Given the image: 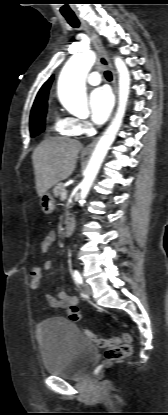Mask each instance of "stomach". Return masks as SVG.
<instances>
[{"instance_id": "1", "label": "stomach", "mask_w": 168, "mask_h": 415, "mask_svg": "<svg viewBox=\"0 0 168 415\" xmlns=\"http://www.w3.org/2000/svg\"><path fill=\"white\" fill-rule=\"evenodd\" d=\"M40 207L45 214H50L55 208V201L50 193H45L40 198Z\"/></svg>"}]
</instances>
